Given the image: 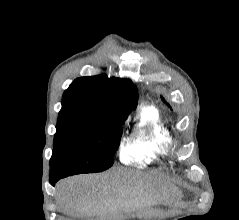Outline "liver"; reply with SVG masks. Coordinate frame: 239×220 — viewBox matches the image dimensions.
Masks as SVG:
<instances>
[{"instance_id": "obj_1", "label": "liver", "mask_w": 239, "mask_h": 220, "mask_svg": "<svg viewBox=\"0 0 239 220\" xmlns=\"http://www.w3.org/2000/svg\"><path fill=\"white\" fill-rule=\"evenodd\" d=\"M180 191L172 184L132 169L70 177L57 185L59 208L78 217L108 216L167 203Z\"/></svg>"}]
</instances>
